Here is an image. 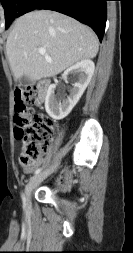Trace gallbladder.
<instances>
[{"mask_svg": "<svg viewBox=\"0 0 133 253\" xmlns=\"http://www.w3.org/2000/svg\"><path fill=\"white\" fill-rule=\"evenodd\" d=\"M18 83H19L20 86L25 87V86L30 85V84L32 83V80H30V79H29L28 77H26V76H23V77H21V78L18 80Z\"/></svg>", "mask_w": 133, "mask_h": 253, "instance_id": "bac80fb5", "label": "gallbladder"}]
</instances>
